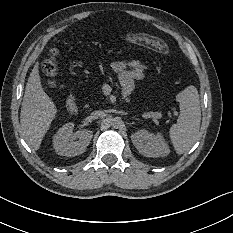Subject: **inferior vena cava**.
<instances>
[{"label": "inferior vena cava", "instance_id": "602c4592", "mask_svg": "<svg viewBox=\"0 0 233 233\" xmlns=\"http://www.w3.org/2000/svg\"><path fill=\"white\" fill-rule=\"evenodd\" d=\"M105 112L103 110H96L91 113V117L93 119H98L99 117L103 116Z\"/></svg>", "mask_w": 233, "mask_h": 233}]
</instances>
